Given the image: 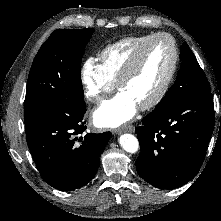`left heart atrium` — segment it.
Instances as JSON below:
<instances>
[{"label": "left heart atrium", "mask_w": 221, "mask_h": 221, "mask_svg": "<svg viewBox=\"0 0 221 221\" xmlns=\"http://www.w3.org/2000/svg\"><path fill=\"white\" fill-rule=\"evenodd\" d=\"M138 105L125 93L104 102L93 113L97 126L115 128L130 121L136 114Z\"/></svg>", "instance_id": "39dd6f15"}]
</instances>
